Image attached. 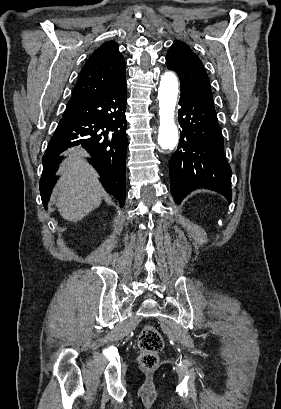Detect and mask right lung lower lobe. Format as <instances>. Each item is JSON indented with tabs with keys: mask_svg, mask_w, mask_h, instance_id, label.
I'll return each instance as SVG.
<instances>
[{
	"mask_svg": "<svg viewBox=\"0 0 281 409\" xmlns=\"http://www.w3.org/2000/svg\"><path fill=\"white\" fill-rule=\"evenodd\" d=\"M126 81L111 90L83 100H70L63 118L43 156L40 179L42 203L46 207L58 165L57 156L69 147L82 145L92 156L90 162L101 176L108 193L125 202Z\"/></svg>",
	"mask_w": 281,
	"mask_h": 409,
	"instance_id": "98d812e1",
	"label": "right lung lower lobe"
}]
</instances>
